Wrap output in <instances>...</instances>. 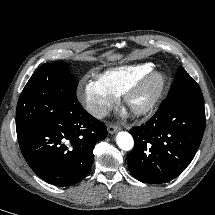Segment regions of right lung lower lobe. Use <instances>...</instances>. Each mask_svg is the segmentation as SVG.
<instances>
[{
  "label": "right lung lower lobe",
  "instance_id": "1",
  "mask_svg": "<svg viewBox=\"0 0 215 215\" xmlns=\"http://www.w3.org/2000/svg\"><path fill=\"white\" fill-rule=\"evenodd\" d=\"M106 136L105 124L86 112L76 98L47 114L18 140L25 160L41 179L70 186L87 176L94 146Z\"/></svg>",
  "mask_w": 215,
  "mask_h": 215
}]
</instances>
